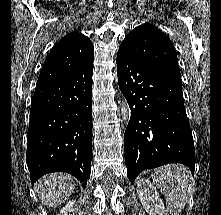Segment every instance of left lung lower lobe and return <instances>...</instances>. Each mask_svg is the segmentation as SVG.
I'll list each match as a JSON object with an SVG mask.
<instances>
[{
	"label": "left lung lower lobe",
	"instance_id": "0a47b994",
	"mask_svg": "<svg viewBox=\"0 0 221 215\" xmlns=\"http://www.w3.org/2000/svg\"><path fill=\"white\" fill-rule=\"evenodd\" d=\"M117 75L131 109L124 133L125 163L131 183L145 169L182 163L192 173L195 150L182 95L175 82L119 48Z\"/></svg>",
	"mask_w": 221,
	"mask_h": 215
}]
</instances>
